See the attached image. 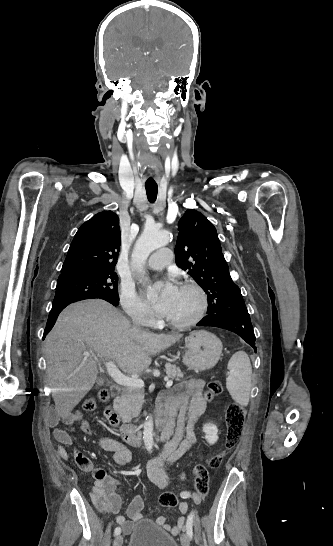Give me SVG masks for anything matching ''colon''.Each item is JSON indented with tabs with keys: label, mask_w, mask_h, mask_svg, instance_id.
I'll return each mask as SVG.
<instances>
[{
	"label": "colon",
	"mask_w": 333,
	"mask_h": 546,
	"mask_svg": "<svg viewBox=\"0 0 333 546\" xmlns=\"http://www.w3.org/2000/svg\"><path fill=\"white\" fill-rule=\"evenodd\" d=\"M222 385L219 381H211L208 384L207 390L204 393L206 401L213 400L216 396L222 393ZM97 399L105 402L109 399V392L102 389L96 397H89L83 403V408L86 411H92L96 408ZM226 438L222 451L215 453L205 460L204 464H198L193 470L195 479V497L197 501H202L206 498L209 490V469H218L223 462L225 454L232 450L241 437L245 411L238 403H231L226 410ZM160 505L164 508H174L178 504V499L175 493L165 492L160 495Z\"/></svg>",
	"instance_id": "1"
}]
</instances>
